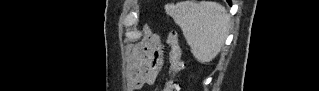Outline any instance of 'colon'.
I'll use <instances>...</instances> for the list:
<instances>
[{
	"mask_svg": "<svg viewBox=\"0 0 319 91\" xmlns=\"http://www.w3.org/2000/svg\"><path fill=\"white\" fill-rule=\"evenodd\" d=\"M168 45L171 48L170 51V66L168 70V78L165 83V91H175L176 82L175 77L181 69V47L179 44L178 35L175 31H170L167 38ZM157 59V51L150 49L144 53L141 58V66L143 68H150L155 65Z\"/></svg>",
	"mask_w": 319,
	"mask_h": 91,
	"instance_id": "1",
	"label": "colon"
}]
</instances>
